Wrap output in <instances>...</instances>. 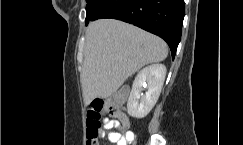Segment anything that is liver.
I'll list each match as a JSON object with an SVG mask.
<instances>
[{
	"mask_svg": "<svg viewBox=\"0 0 243 145\" xmlns=\"http://www.w3.org/2000/svg\"><path fill=\"white\" fill-rule=\"evenodd\" d=\"M167 55V44L161 38L138 27L114 19L91 22L81 73L85 104L110 97L128 77Z\"/></svg>",
	"mask_w": 243,
	"mask_h": 145,
	"instance_id": "liver-1",
	"label": "liver"
}]
</instances>
